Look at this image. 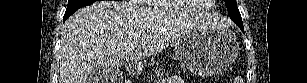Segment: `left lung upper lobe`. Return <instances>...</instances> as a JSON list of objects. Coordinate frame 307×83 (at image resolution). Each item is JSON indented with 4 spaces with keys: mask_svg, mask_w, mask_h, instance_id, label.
Listing matches in <instances>:
<instances>
[{
    "mask_svg": "<svg viewBox=\"0 0 307 83\" xmlns=\"http://www.w3.org/2000/svg\"><path fill=\"white\" fill-rule=\"evenodd\" d=\"M225 5L228 9V12L230 14V18L237 24V25H243L240 12L237 8L236 0H224Z\"/></svg>",
    "mask_w": 307,
    "mask_h": 83,
    "instance_id": "5c2ea615",
    "label": "left lung upper lobe"
}]
</instances>
